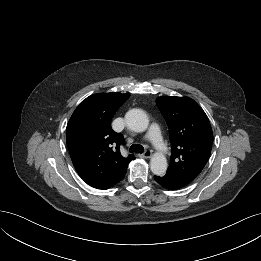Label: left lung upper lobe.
I'll return each instance as SVG.
<instances>
[{"label":"left lung upper lobe","mask_w":261,"mask_h":261,"mask_svg":"<svg viewBox=\"0 0 261 261\" xmlns=\"http://www.w3.org/2000/svg\"><path fill=\"white\" fill-rule=\"evenodd\" d=\"M156 104L168 124L172 144L166 174L189 184L210 157L213 133L209 119L189 97H158Z\"/></svg>","instance_id":"1"}]
</instances>
